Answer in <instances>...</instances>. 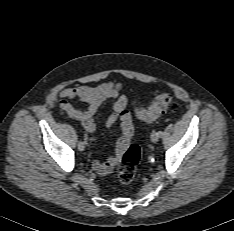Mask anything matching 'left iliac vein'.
<instances>
[{
  "instance_id": "left-iliac-vein-1",
  "label": "left iliac vein",
  "mask_w": 234,
  "mask_h": 231,
  "mask_svg": "<svg viewBox=\"0 0 234 231\" xmlns=\"http://www.w3.org/2000/svg\"><path fill=\"white\" fill-rule=\"evenodd\" d=\"M150 138L153 143H156L159 140V135L157 132H152Z\"/></svg>"
}]
</instances>
